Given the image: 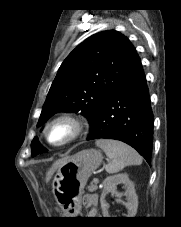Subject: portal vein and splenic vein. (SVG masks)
Wrapping results in <instances>:
<instances>
[{
	"label": "portal vein and splenic vein",
	"instance_id": "portal-vein-and-splenic-vein-1",
	"mask_svg": "<svg viewBox=\"0 0 181 227\" xmlns=\"http://www.w3.org/2000/svg\"><path fill=\"white\" fill-rule=\"evenodd\" d=\"M93 182H94L95 184H97V183L99 182L98 178H94V179H93Z\"/></svg>",
	"mask_w": 181,
	"mask_h": 227
}]
</instances>
